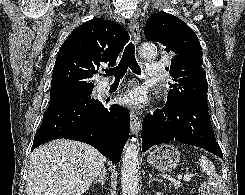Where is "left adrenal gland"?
I'll list each match as a JSON object with an SVG mask.
<instances>
[{"label": "left adrenal gland", "instance_id": "1", "mask_svg": "<svg viewBox=\"0 0 245 195\" xmlns=\"http://www.w3.org/2000/svg\"><path fill=\"white\" fill-rule=\"evenodd\" d=\"M154 181L162 182L161 179H159V178H154V177L152 176V174L149 173V181H148V184H151V183L154 182Z\"/></svg>", "mask_w": 245, "mask_h": 195}]
</instances>
